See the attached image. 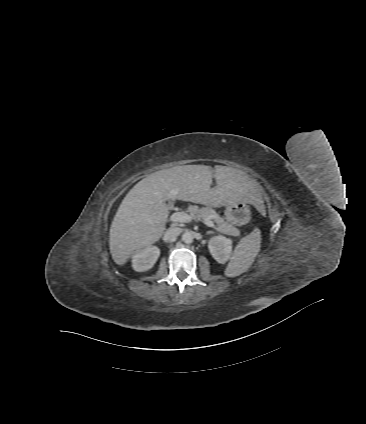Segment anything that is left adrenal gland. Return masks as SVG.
<instances>
[{
    "label": "left adrenal gland",
    "instance_id": "a2214340",
    "mask_svg": "<svg viewBox=\"0 0 366 424\" xmlns=\"http://www.w3.org/2000/svg\"><path fill=\"white\" fill-rule=\"evenodd\" d=\"M211 233H212V232H207V235H208V234H211Z\"/></svg>",
    "mask_w": 366,
    "mask_h": 424
}]
</instances>
